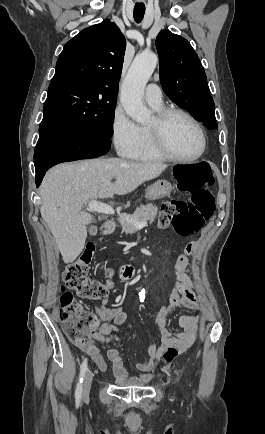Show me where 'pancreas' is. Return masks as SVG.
<instances>
[{
	"label": "pancreas",
	"instance_id": "pancreas-1",
	"mask_svg": "<svg viewBox=\"0 0 265 434\" xmlns=\"http://www.w3.org/2000/svg\"><path fill=\"white\" fill-rule=\"evenodd\" d=\"M157 214L158 210L156 206H153V204H147V206H144V208H137V210H135L132 216L134 222L120 220L119 224L125 234H134V232H137L138 230L135 224H147V222L152 224V222L156 220Z\"/></svg>",
	"mask_w": 265,
	"mask_h": 434
}]
</instances>
